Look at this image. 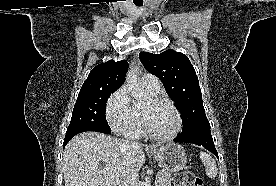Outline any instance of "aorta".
<instances>
[{
  "mask_svg": "<svg viewBox=\"0 0 276 186\" xmlns=\"http://www.w3.org/2000/svg\"><path fill=\"white\" fill-rule=\"evenodd\" d=\"M126 83L133 97H141V89L138 86V75L135 69H131L130 71H128L126 75Z\"/></svg>",
  "mask_w": 276,
  "mask_h": 186,
  "instance_id": "1",
  "label": "aorta"
}]
</instances>
